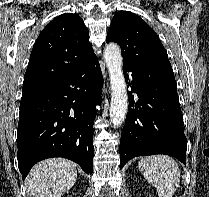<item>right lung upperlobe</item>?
Masks as SVG:
<instances>
[{
    "label": "right lung upper lobe",
    "instance_id": "obj_1",
    "mask_svg": "<svg viewBox=\"0 0 209 197\" xmlns=\"http://www.w3.org/2000/svg\"><path fill=\"white\" fill-rule=\"evenodd\" d=\"M96 58L89 33L77 14L53 19L39 34L24 76L22 92L55 83Z\"/></svg>",
    "mask_w": 209,
    "mask_h": 197
}]
</instances>
